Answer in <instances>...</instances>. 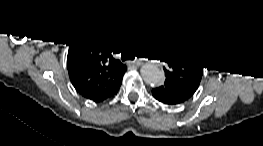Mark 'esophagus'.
Wrapping results in <instances>:
<instances>
[{
    "label": "esophagus",
    "mask_w": 263,
    "mask_h": 146,
    "mask_svg": "<svg viewBox=\"0 0 263 146\" xmlns=\"http://www.w3.org/2000/svg\"><path fill=\"white\" fill-rule=\"evenodd\" d=\"M140 65H141V62H140V61H134V62H133V67H134L135 69H138V68L140 67Z\"/></svg>",
    "instance_id": "obj_1"
}]
</instances>
